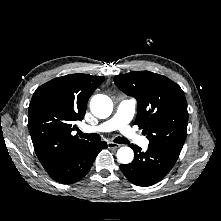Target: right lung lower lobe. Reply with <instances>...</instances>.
<instances>
[{
	"mask_svg": "<svg viewBox=\"0 0 221 221\" xmlns=\"http://www.w3.org/2000/svg\"><path fill=\"white\" fill-rule=\"evenodd\" d=\"M102 148H107L106 142L89 143L76 155L53 166L47 173L57 182L63 184L74 183L88 173Z\"/></svg>",
	"mask_w": 221,
	"mask_h": 221,
	"instance_id": "1",
	"label": "right lung lower lobe"
}]
</instances>
